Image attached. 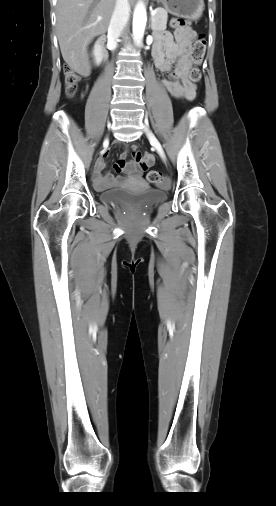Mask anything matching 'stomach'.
<instances>
[{"mask_svg": "<svg viewBox=\"0 0 276 506\" xmlns=\"http://www.w3.org/2000/svg\"><path fill=\"white\" fill-rule=\"evenodd\" d=\"M172 15L197 20L204 10V0H157Z\"/></svg>", "mask_w": 276, "mask_h": 506, "instance_id": "obj_1", "label": "stomach"}]
</instances>
